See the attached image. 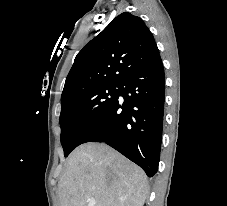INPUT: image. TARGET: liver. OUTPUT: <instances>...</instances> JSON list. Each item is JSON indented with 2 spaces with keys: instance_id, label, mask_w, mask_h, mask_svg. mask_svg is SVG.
<instances>
[{
  "instance_id": "liver-1",
  "label": "liver",
  "mask_w": 227,
  "mask_h": 206,
  "mask_svg": "<svg viewBox=\"0 0 227 206\" xmlns=\"http://www.w3.org/2000/svg\"><path fill=\"white\" fill-rule=\"evenodd\" d=\"M148 193L145 172L102 143L77 147L58 183L59 206H143Z\"/></svg>"
}]
</instances>
